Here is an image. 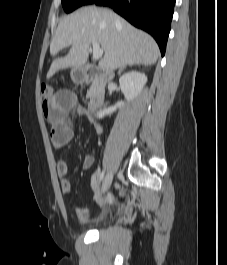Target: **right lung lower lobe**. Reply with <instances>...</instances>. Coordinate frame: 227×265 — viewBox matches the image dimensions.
Listing matches in <instances>:
<instances>
[{
    "label": "right lung lower lobe",
    "mask_w": 227,
    "mask_h": 265,
    "mask_svg": "<svg viewBox=\"0 0 227 265\" xmlns=\"http://www.w3.org/2000/svg\"><path fill=\"white\" fill-rule=\"evenodd\" d=\"M99 6H110L134 26L153 36L162 56L170 32L175 0H95Z\"/></svg>",
    "instance_id": "98d812e1"
}]
</instances>
